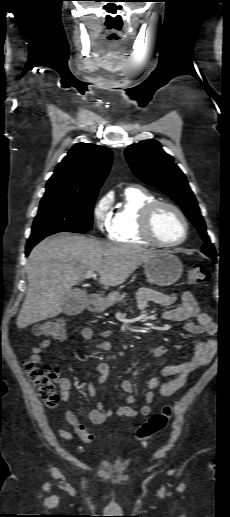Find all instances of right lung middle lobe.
Returning a JSON list of instances; mask_svg holds the SVG:
<instances>
[{
	"instance_id": "dd1d6c3e",
	"label": "right lung middle lobe",
	"mask_w": 230,
	"mask_h": 517,
	"mask_svg": "<svg viewBox=\"0 0 230 517\" xmlns=\"http://www.w3.org/2000/svg\"><path fill=\"white\" fill-rule=\"evenodd\" d=\"M96 197L97 193L43 197L29 239L90 230Z\"/></svg>"
}]
</instances>
